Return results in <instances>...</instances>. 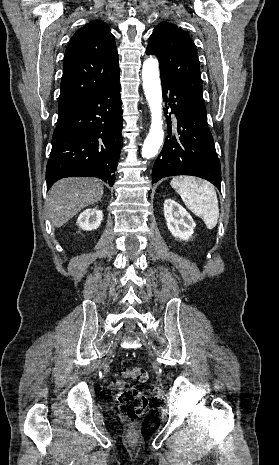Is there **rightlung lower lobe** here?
Instances as JSON below:
<instances>
[{
	"mask_svg": "<svg viewBox=\"0 0 279 465\" xmlns=\"http://www.w3.org/2000/svg\"><path fill=\"white\" fill-rule=\"evenodd\" d=\"M119 77L57 121L46 169L47 189L64 177H98L110 186L122 147Z\"/></svg>",
	"mask_w": 279,
	"mask_h": 465,
	"instance_id": "1",
	"label": "right lung lower lobe"
}]
</instances>
